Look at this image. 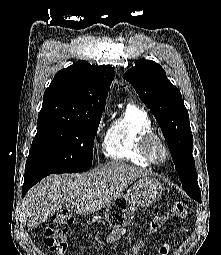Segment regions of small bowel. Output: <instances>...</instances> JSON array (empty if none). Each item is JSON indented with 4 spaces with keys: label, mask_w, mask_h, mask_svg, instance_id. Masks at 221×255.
I'll return each instance as SVG.
<instances>
[{
    "label": "small bowel",
    "mask_w": 221,
    "mask_h": 255,
    "mask_svg": "<svg viewBox=\"0 0 221 255\" xmlns=\"http://www.w3.org/2000/svg\"><path fill=\"white\" fill-rule=\"evenodd\" d=\"M123 233H124L123 230L114 231L106 237L105 242L107 244L115 243L123 235ZM141 246H142V242H140L137 245L133 246L125 255H137V253L139 252V249H140ZM161 252H162L163 255H165L166 247H163L161 249Z\"/></svg>",
    "instance_id": "c3829d8e"
}]
</instances>
